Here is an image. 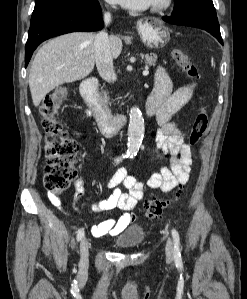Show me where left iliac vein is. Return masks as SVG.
Masks as SVG:
<instances>
[{
	"mask_svg": "<svg viewBox=\"0 0 247 299\" xmlns=\"http://www.w3.org/2000/svg\"><path fill=\"white\" fill-rule=\"evenodd\" d=\"M166 258L169 262L173 260V242L169 238L166 243Z\"/></svg>",
	"mask_w": 247,
	"mask_h": 299,
	"instance_id": "4c4485c4",
	"label": "left iliac vein"
}]
</instances>
